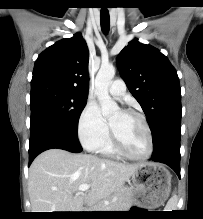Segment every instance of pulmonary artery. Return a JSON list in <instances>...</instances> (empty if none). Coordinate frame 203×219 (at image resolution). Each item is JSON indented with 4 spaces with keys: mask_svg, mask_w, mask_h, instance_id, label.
Masks as SVG:
<instances>
[{
    "mask_svg": "<svg viewBox=\"0 0 203 219\" xmlns=\"http://www.w3.org/2000/svg\"><path fill=\"white\" fill-rule=\"evenodd\" d=\"M126 91V86L123 80L116 79L112 82L109 87V92L111 95L119 97L122 96Z\"/></svg>",
    "mask_w": 203,
    "mask_h": 219,
    "instance_id": "1",
    "label": "pulmonary artery"
}]
</instances>
